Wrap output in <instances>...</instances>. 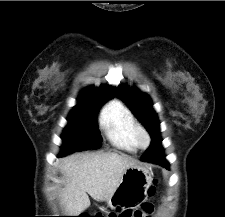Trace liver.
<instances>
[{
	"mask_svg": "<svg viewBox=\"0 0 225 217\" xmlns=\"http://www.w3.org/2000/svg\"><path fill=\"white\" fill-rule=\"evenodd\" d=\"M135 163L134 159L115 152L64 158L59 168L66 184L60 197L67 214L76 216L86 210L90 206L88 194L97 201H110L124 171Z\"/></svg>",
	"mask_w": 225,
	"mask_h": 217,
	"instance_id": "6515ba94",
	"label": "liver"
}]
</instances>
